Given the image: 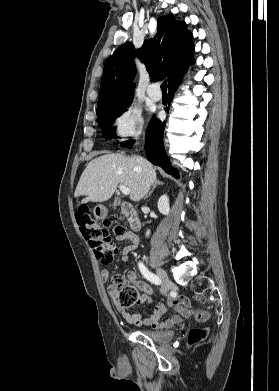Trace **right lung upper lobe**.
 <instances>
[{
	"instance_id": "1",
	"label": "right lung upper lobe",
	"mask_w": 279,
	"mask_h": 391,
	"mask_svg": "<svg viewBox=\"0 0 279 391\" xmlns=\"http://www.w3.org/2000/svg\"><path fill=\"white\" fill-rule=\"evenodd\" d=\"M192 39L186 23L168 15L158 18L156 36L145 40L140 49L135 50L132 43L116 49L105 62L97 113L132 102L136 56L146 65L152 81L163 76L168 88L174 85L195 63Z\"/></svg>"
}]
</instances>
